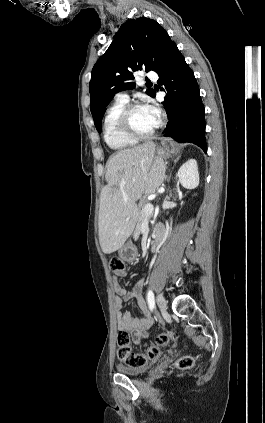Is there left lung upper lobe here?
I'll return each instance as SVG.
<instances>
[{"label": "left lung upper lobe", "mask_w": 265, "mask_h": 423, "mask_svg": "<svg viewBox=\"0 0 265 423\" xmlns=\"http://www.w3.org/2000/svg\"><path fill=\"white\" fill-rule=\"evenodd\" d=\"M170 41L165 29L153 19L142 17L120 27L92 70L90 108L98 132H101L102 117L113 96L134 88L133 72L142 69L157 72ZM146 93L151 97L155 94L153 89H147Z\"/></svg>", "instance_id": "1"}]
</instances>
